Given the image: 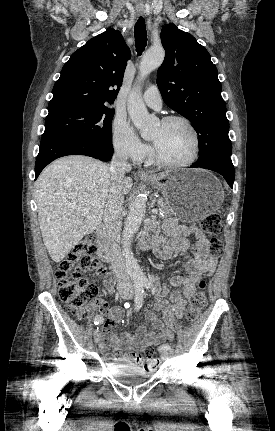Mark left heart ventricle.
I'll list each match as a JSON object with an SVG mask.
<instances>
[{
	"mask_svg": "<svg viewBox=\"0 0 275 431\" xmlns=\"http://www.w3.org/2000/svg\"><path fill=\"white\" fill-rule=\"evenodd\" d=\"M150 140L158 154L172 163L188 160L193 152V137L181 122L167 125L159 123L151 133Z\"/></svg>",
	"mask_w": 275,
	"mask_h": 431,
	"instance_id": "1",
	"label": "left heart ventricle"
}]
</instances>
